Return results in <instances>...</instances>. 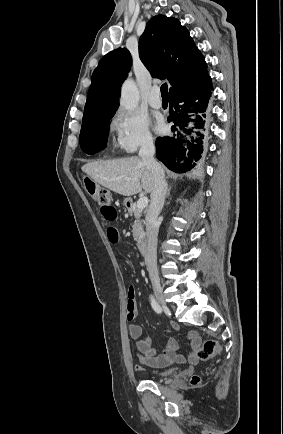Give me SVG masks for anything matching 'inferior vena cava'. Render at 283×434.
<instances>
[{"label":"inferior vena cava","mask_w":283,"mask_h":434,"mask_svg":"<svg viewBox=\"0 0 283 434\" xmlns=\"http://www.w3.org/2000/svg\"><path fill=\"white\" fill-rule=\"evenodd\" d=\"M155 146L151 138L146 139L140 150L139 157L147 165L153 175L151 203L146 214L147 250L146 261L152 282L159 283L157 269V236L159 231L158 215L160 214L167 193V183L162 166L154 159Z\"/></svg>","instance_id":"inferior-vena-cava-1"}]
</instances>
